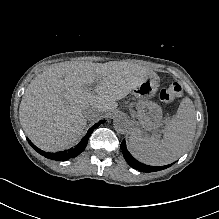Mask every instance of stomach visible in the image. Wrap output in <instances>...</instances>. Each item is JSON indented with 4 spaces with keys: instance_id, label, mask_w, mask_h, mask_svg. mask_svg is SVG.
Returning a JSON list of instances; mask_svg holds the SVG:
<instances>
[{
    "instance_id": "stomach-1",
    "label": "stomach",
    "mask_w": 219,
    "mask_h": 219,
    "mask_svg": "<svg viewBox=\"0 0 219 219\" xmlns=\"http://www.w3.org/2000/svg\"><path fill=\"white\" fill-rule=\"evenodd\" d=\"M159 83L155 79H146L133 89L136 98L137 119L145 130H156L162 124V109L152 101L158 91Z\"/></svg>"
}]
</instances>
